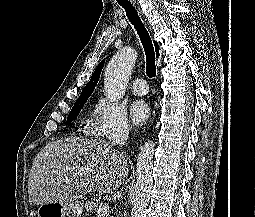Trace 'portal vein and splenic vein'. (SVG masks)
Here are the masks:
<instances>
[{
	"label": "portal vein and splenic vein",
	"mask_w": 255,
	"mask_h": 217,
	"mask_svg": "<svg viewBox=\"0 0 255 217\" xmlns=\"http://www.w3.org/2000/svg\"><path fill=\"white\" fill-rule=\"evenodd\" d=\"M109 208V203H102L97 210V216L100 217L101 215L106 214L109 211Z\"/></svg>",
	"instance_id": "portal-vein-and-splenic-vein-1"
}]
</instances>
